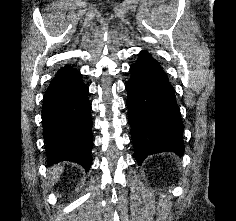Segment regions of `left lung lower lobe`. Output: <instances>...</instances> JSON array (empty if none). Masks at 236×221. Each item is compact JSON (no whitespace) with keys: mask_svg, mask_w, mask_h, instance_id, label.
Listing matches in <instances>:
<instances>
[{"mask_svg":"<svg viewBox=\"0 0 236 221\" xmlns=\"http://www.w3.org/2000/svg\"><path fill=\"white\" fill-rule=\"evenodd\" d=\"M131 66L127 107L138 163L151 154H184V125L175 91L159 63L146 51Z\"/></svg>","mask_w":236,"mask_h":221,"instance_id":"0a47b994","label":"left lung lower lobe"}]
</instances>
